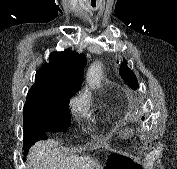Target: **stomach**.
<instances>
[{"mask_svg":"<svg viewBox=\"0 0 177 169\" xmlns=\"http://www.w3.org/2000/svg\"><path fill=\"white\" fill-rule=\"evenodd\" d=\"M108 169H144V167L131 155L114 154L110 156Z\"/></svg>","mask_w":177,"mask_h":169,"instance_id":"obj_1","label":"stomach"}]
</instances>
